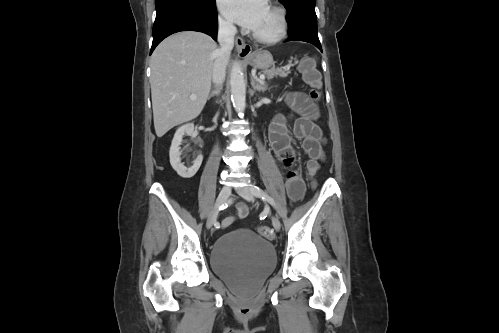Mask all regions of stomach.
Here are the masks:
<instances>
[{"label": "stomach", "mask_w": 499, "mask_h": 333, "mask_svg": "<svg viewBox=\"0 0 499 333\" xmlns=\"http://www.w3.org/2000/svg\"><path fill=\"white\" fill-rule=\"evenodd\" d=\"M247 60L251 66L261 70H268L274 64L272 54L266 50L253 52Z\"/></svg>", "instance_id": "1"}]
</instances>
